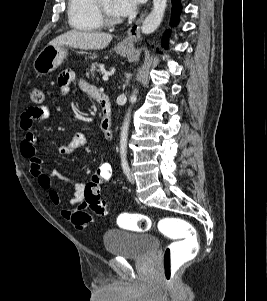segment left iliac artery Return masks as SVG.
<instances>
[{"instance_id": "left-iliac-artery-1", "label": "left iliac artery", "mask_w": 267, "mask_h": 301, "mask_svg": "<svg viewBox=\"0 0 267 301\" xmlns=\"http://www.w3.org/2000/svg\"><path fill=\"white\" fill-rule=\"evenodd\" d=\"M122 168H123V171H124L125 175L129 176V174H130V167H129L127 161H123L122 162Z\"/></svg>"}]
</instances>
